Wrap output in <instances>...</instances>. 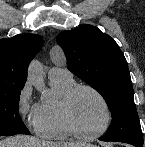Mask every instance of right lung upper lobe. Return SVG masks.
I'll return each mask as SVG.
<instances>
[{"mask_svg":"<svg viewBox=\"0 0 145 147\" xmlns=\"http://www.w3.org/2000/svg\"><path fill=\"white\" fill-rule=\"evenodd\" d=\"M42 45V37L36 34L0 39V92L24 87L28 64Z\"/></svg>","mask_w":145,"mask_h":147,"instance_id":"1","label":"right lung upper lobe"}]
</instances>
